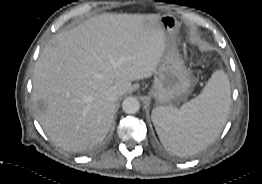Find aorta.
Returning <instances> with one entry per match:
<instances>
[{
  "label": "aorta",
  "instance_id": "obj_1",
  "mask_svg": "<svg viewBox=\"0 0 262 184\" xmlns=\"http://www.w3.org/2000/svg\"><path fill=\"white\" fill-rule=\"evenodd\" d=\"M122 109L127 114H135L140 109V103L135 97H127L122 103Z\"/></svg>",
  "mask_w": 262,
  "mask_h": 184
}]
</instances>
